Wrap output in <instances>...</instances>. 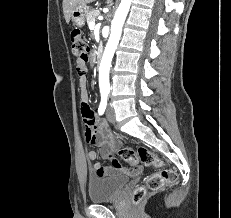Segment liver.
I'll use <instances>...</instances> for the list:
<instances>
[{
    "label": "liver",
    "mask_w": 231,
    "mask_h": 218,
    "mask_svg": "<svg viewBox=\"0 0 231 218\" xmlns=\"http://www.w3.org/2000/svg\"><path fill=\"white\" fill-rule=\"evenodd\" d=\"M95 0H63V13L66 23H69L72 11L79 5L86 6ZM112 0H107V3H111Z\"/></svg>",
    "instance_id": "6515ba94"
}]
</instances>
